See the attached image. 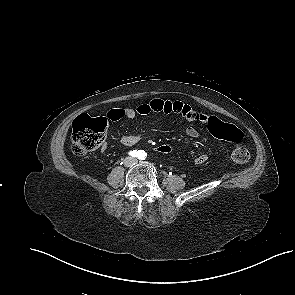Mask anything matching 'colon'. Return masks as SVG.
I'll return each instance as SVG.
<instances>
[{
  "label": "colon",
  "instance_id": "1",
  "mask_svg": "<svg viewBox=\"0 0 295 295\" xmlns=\"http://www.w3.org/2000/svg\"><path fill=\"white\" fill-rule=\"evenodd\" d=\"M107 128V120L104 117H90L80 115L73 122L72 150L77 155H85L98 148L104 140ZM211 130L218 138L227 140L235 145L231 158L238 165H245L250 154L242 146L243 133L234 125L218 121L211 122ZM157 151L163 154L169 153V145H161Z\"/></svg>",
  "mask_w": 295,
  "mask_h": 295
}]
</instances>
